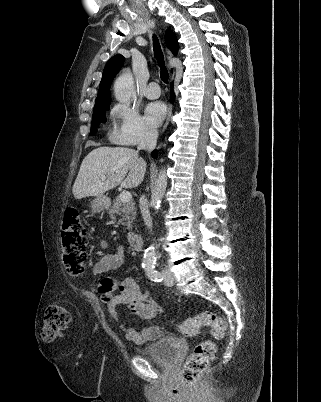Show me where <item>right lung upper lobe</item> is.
Returning <instances> with one entry per match:
<instances>
[{"label":"right lung upper lobe","mask_w":321,"mask_h":402,"mask_svg":"<svg viewBox=\"0 0 321 402\" xmlns=\"http://www.w3.org/2000/svg\"><path fill=\"white\" fill-rule=\"evenodd\" d=\"M166 44L174 55L178 52V43L175 35L172 31L166 32ZM124 63V57L121 54H117L110 58L105 65L103 76L99 86V92L95 100L94 108L102 107L110 104V90L112 80L119 72Z\"/></svg>","instance_id":"obj_1"}]
</instances>
